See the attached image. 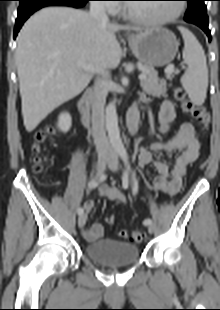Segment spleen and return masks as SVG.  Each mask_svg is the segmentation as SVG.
Wrapping results in <instances>:
<instances>
[{"mask_svg": "<svg viewBox=\"0 0 220 310\" xmlns=\"http://www.w3.org/2000/svg\"><path fill=\"white\" fill-rule=\"evenodd\" d=\"M184 40L183 59L188 66L181 84L196 105H202L208 87V68L204 50L196 37L186 28L179 27Z\"/></svg>", "mask_w": 220, "mask_h": 310, "instance_id": "obj_1", "label": "spleen"}]
</instances>
